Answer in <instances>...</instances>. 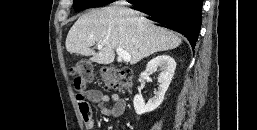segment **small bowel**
<instances>
[{
    "label": "small bowel",
    "instance_id": "obj_1",
    "mask_svg": "<svg viewBox=\"0 0 257 130\" xmlns=\"http://www.w3.org/2000/svg\"><path fill=\"white\" fill-rule=\"evenodd\" d=\"M81 94L82 97L77 95V103L87 130L95 129V119L91 111L90 103L98 104L101 115L105 117H119L124 114L126 110V101L117 94H104L97 89H90ZM108 104L112 105L108 106Z\"/></svg>",
    "mask_w": 257,
    "mask_h": 130
}]
</instances>
